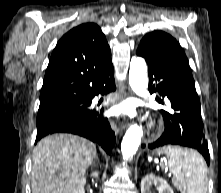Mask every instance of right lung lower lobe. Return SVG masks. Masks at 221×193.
<instances>
[{"label":"right lung lower lobe","instance_id":"obj_1","mask_svg":"<svg viewBox=\"0 0 221 193\" xmlns=\"http://www.w3.org/2000/svg\"><path fill=\"white\" fill-rule=\"evenodd\" d=\"M115 90L114 69L104 74L95 84L91 94L87 97L89 106L95 95L107 94ZM103 109L100 111L89 110L88 114L72 122L62 124L46 130L37 132L36 142L42 137L53 133H72L98 142L102 148L111 154L115 144V134L111 130L106 118H103Z\"/></svg>","mask_w":221,"mask_h":193}]
</instances>
